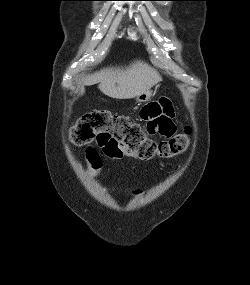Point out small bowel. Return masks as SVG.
Listing matches in <instances>:
<instances>
[{
	"mask_svg": "<svg viewBox=\"0 0 250 285\" xmlns=\"http://www.w3.org/2000/svg\"><path fill=\"white\" fill-rule=\"evenodd\" d=\"M140 115L145 121V127H147L143 129L146 136H174V133H176V128L172 120L174 110L169 100L160 99L159 101L145 105ZM86 158L94 172L101 169L102 161L94 148L89 147L87 149Z\"/></svg>",
	"mask_w": 250,
	"mask_h": 285,
	"instance_id": "small-bowel-1",
	"label": "small bowel"
}]
</instances>
